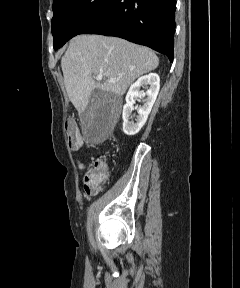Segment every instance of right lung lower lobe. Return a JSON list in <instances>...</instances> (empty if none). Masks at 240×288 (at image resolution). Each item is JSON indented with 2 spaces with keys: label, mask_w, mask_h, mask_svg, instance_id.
<instances>
[{
  "label": "right lung lower lobe",
  "mask_w": 240,
  "mask_h": 288,
  "mask_svg": "<svg viewBox=\"0 0 240 288\" xmlns=\"http://www.w3.org/2000/svg\"><path fill=\"white\" fill-rule=\"evenodd\" d=\"M176 0H112L80 34L116 36L173 61Z\"/></svg>",
  "instance_id": "obj_1"
}]
</instances>
